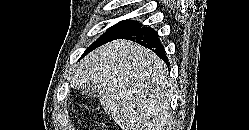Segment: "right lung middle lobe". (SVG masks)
Wrapping results in <instances>:
<instances>
[{
    "mask_svg": "<svg viewBox=\"0 0 249 130\" xmlns=\"http://www.w3.org/2000/svg\"><path fill=\"white\" fill-rule=\"evenodd\" d=\"M142 27V24L136 21H131V20H124L121 21L119 23H117L116 25L112 26L111 28H109V30H107L106 33H104L101 37H99L91 46H89L85 53H88L90 51H92L93 49H95L96 47L109 42L111 40H114L124 34H127L137 28Z\"/></svg>",
    "mask_w": 249,
    "mask_h": 130,
    "instance_id": "obj_1",
    "label": "right lung middle lobe"
}]
</instances>
